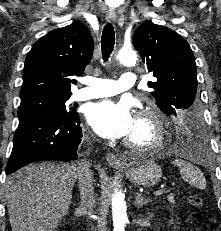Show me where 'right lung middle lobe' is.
Returning <instances> with one entry per match:
<instances>
[{
	"mask_svg": "<svg viewBox=\"0 0 221 231\" xmlns=\"http://www.w3.org/2000/svg\"><path fill=\"white\" fill-rule=\"evenodd\" d=\"M69 97H58V96H36L21 99V104L18 109V117L41 111H50L60 113L63 115H75L74 108L68 105Z\"/></svg>",
	"mask_w": 221,
	"mask_h": 231,
	"instance_id": "dd1d6c3e",
	"label": "right lung middle lobe"
}]
</instances>
